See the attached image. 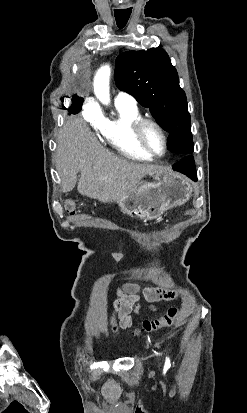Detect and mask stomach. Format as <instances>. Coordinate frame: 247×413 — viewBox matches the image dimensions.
Listing matches in <instances>:
<instances>
[{
	"label": "stomach",
	"instance_id": "1",
	"mask_svg": "<svg viewBox=\"0 0 247 413\" xmlns=\"http://www.w3.org/2000/svg\"><path fill=\"white\" fill-rule=\"evenodd\" d=\"M192 192L193 184L187 176L161 166L148 174V180H139L117 202L122 213L129 217L152 221L167 209L181 207Z\"/></svg>",
	"mask_w": 247,
	"mask_h": 413
}]
</instances>
